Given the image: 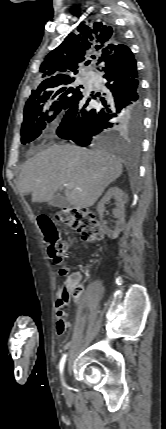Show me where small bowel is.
Returning <instances> with one entry per match:
<instances>
[{"mask_svg": "<svg viewBox=\"0 0 166 429\" xmlns=\"http://www.w3.org/2000/svg\"><path fill=\"white\" fill-rule=\"evenodd\" d=\"M70 271L68 267H62L59 270V275L62 277H70ZM70 305L68 293L64 290L60 291L56 299V332L59 336H62L66 329L69 327V322L67 320L66 308Z\"/></svg>", "mask_w": 166, "mask_h": 429, "instance_id": "small-bowel-1", "label": "small bowel"}]
</instances>
